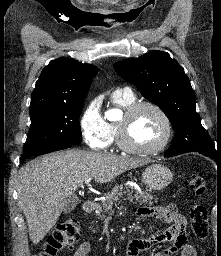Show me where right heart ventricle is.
<instances>
[{
  "instance_id": "e07e8e85",
  "label": "right heart ventricle",
  "mask_w": 221,
  "mask_h": 256,
  "mask_svg": "<svg viewBox=\"0 0 221 256\" xmlns=\"http://www.w3.org/2000/svg\"><path fill=\"white\" fill-rule=\"evenodd\" d=\"M112 100L116 105L126 109L128 106L135 103V96L133 94L126 95V94L118 93V94H113ZM109 126H110V129L113 135V140H114L117 137V124L112 123V124H109Z\"/></svg>"
}]
</instances>
